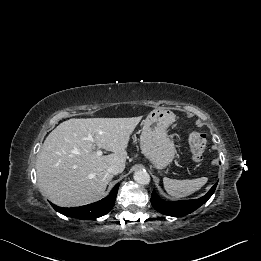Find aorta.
<instances>
[{"label":"aorta","instance_id":"obj_1","mask_svg":"<svg viewBox=\"0 0 261 261\" xmlns=\"http://www.w3.org/2000/svg\"><path fill=\"white\" fill-rule=\"evenodd\" d=\"M134 180L141 185H148L150 183V175L146 170H138L134 173Z\"/></svg>","mask_w":261,"mask_h":261}]
</instances>
